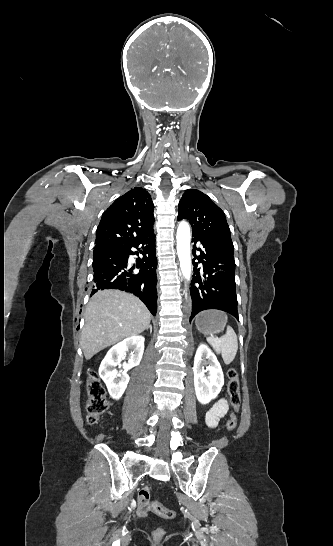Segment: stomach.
I'll return each instance as SVG.
<instances>
[{
    "mask_svg": "<svg viewBox=\"0 0 333 546\" xmlns=\"http://www.w3.org/2000/svg\"><path fill=\"white\" fill-rule=\"evenodd\" d=\"M227 318L220 311L209 310L200 313L196 318V327L204 335H215L222 332Z\"/></svg>",
    "mask_w": 333,
    "mask_h": 546,
    "instance_id": "obj_1",
    "label": "stomach"
}]
</instances>
